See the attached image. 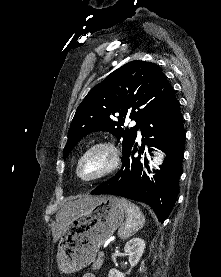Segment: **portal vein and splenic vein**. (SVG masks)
Segmentation results:
<instances>
[{"mask_svg":"<svg viewBox=\"0 0 221 277\" xmlns=\"http://www.w3.org/2000/svg\"><path fill=\"white\" fill-rule=\"evenodd\" d=\"M99 254L103 256V255H104V252L100 251V253H99Z\"/></svg>","mask_w":221,"mask_h":277,"instance_id":"1","label":"portal vein and splenic vein"}]
</instances>
